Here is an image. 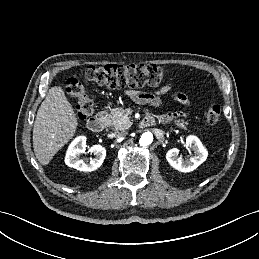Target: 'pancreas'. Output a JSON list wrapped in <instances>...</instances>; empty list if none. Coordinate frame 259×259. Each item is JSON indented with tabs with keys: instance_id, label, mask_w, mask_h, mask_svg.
<instances>
[{
	"instance_id": "cf45deb5",
	"label": "pancreas",
	"mask_w": 259,
	"mask_h": 259,
	"mask_svg": "<svg viewBox=\"0 0 259 259\" xmlns=\"http://www.w3.org/2000/svg\"><path fill=\"white\" fill-rule=\"evenodd\" d=\"M106 116L108 124L115 127L116 129H128L132 125V122L126 114V111L122 107L113 108ZM175 124L178 128L186 130L188 122H185L184 120H178L175 121Z\"/></svg>"
}]
</instances>
